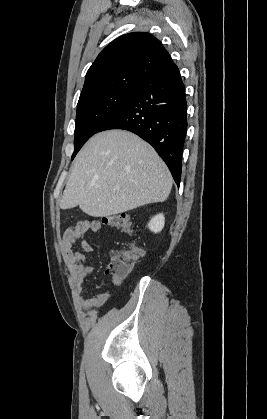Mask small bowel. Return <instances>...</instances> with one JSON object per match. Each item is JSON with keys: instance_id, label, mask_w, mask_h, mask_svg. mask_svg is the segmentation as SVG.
Wrapping results in <instances>:
<instances>
[{"instance_id": "1", "label": "small bowel", "mask_w": 267, "mask_h": 419, "mask_svg": "<svg viewBox=\"0 0 267 419\" xmlns=\"http://www.w3.org/2000/svg\"><path fill=\"white\" fill-rule=\"evenodd\" d=\"M101 223L98 220H80L69 226L61 238L62 254L64 262L68 268L71 283L76 292L78 303L83 309H95L103 307L109 300V291H103L93 295L90 298L82 296V288L87 277L92 273L93 267L87 261L86 255L93 248L91 244L84 239L88 232H99ZM79 247V250L76 247ZM121 277H112V284L118 286L121 284Z\"/></svg>"}]
</instances>
